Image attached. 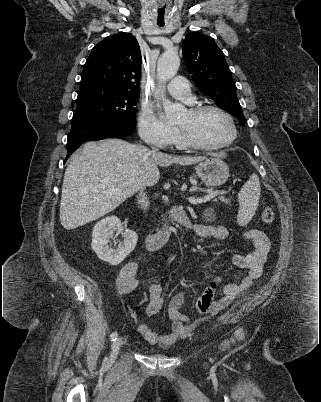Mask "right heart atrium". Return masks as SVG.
<instances>
[{
  "label": "right heart atrium",
  "instance_id": "obj_1",
  "mask_svg": "<svg viewBox=\"0 0 321 402\" xmlns=\"http://www.w3.org/2000/svg\"><path fill=\"white\" fill-rule=\"evenodd\" d=\"M138 133L141 139L158 148L173 144L177 130L164 123L149 107H143L137 121Z\"/></svg>",
  "mask_w": 321,
  "mask_h": 402
}]
</instances>
